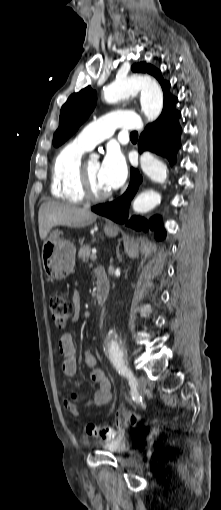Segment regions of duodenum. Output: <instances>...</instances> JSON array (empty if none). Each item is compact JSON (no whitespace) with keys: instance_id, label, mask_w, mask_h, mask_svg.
<instances>
[{"instance_id":"410a0bca","label":"duodenum","mask_w":221,"mask_h":510,"mask_svg":"<svg viewBox=\"0 0 221 510\" xmlns=\"http://www.w3.org/2000/svg\"><path fill=\"white\" fill-rule=\"evenodd\" d=\"M109 292V282L107 276L104 271L98 270L96 272V293H95V302L96 305H102L108 296Z\"/></svg>"}]
</instances>
